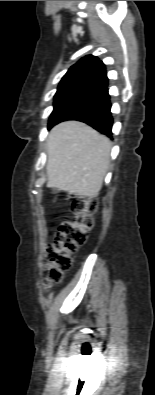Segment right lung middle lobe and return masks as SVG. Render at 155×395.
<instances>
[{
	"mask_svg": "<svg viewBox=\"0 0 155 395\" xmlns=\"http://www.w3.org/2000/svg\"><path fill=\"white\" fill-rule=\"evenodd\" d=\"M104 89L85 84L60 85L54 96V109L48 128L80 111L96 100Z\"/></svg>",
	"mask_w": 155,
	"mask_h": 395,
	"instance_id": "1",
	"label": "right lung middle lobe"
}]
</instances>
